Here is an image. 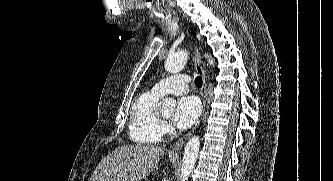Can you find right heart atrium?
<instances>
[{
    "label": "right heart atrium",
    "mask_w": 333,
    "mask_h": 181,
    "mask_svg": "<svg viewBox=\"0 0 333 181\" xmlns=\"http://www.w3.org/2000/svg\"><path fill=\"white\" fill-rule=\"evenodd\" d=\"M162 135L168 134L171 131L170 125L166 121H162L160 125Z\"/></svg>",
    "instance_id": "1"
}]
</instances>
